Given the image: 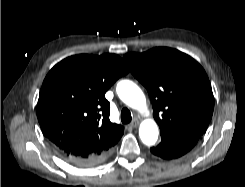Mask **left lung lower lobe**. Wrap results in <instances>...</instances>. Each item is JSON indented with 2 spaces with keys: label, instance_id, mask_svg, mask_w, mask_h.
Masks as SVG:
<instances>
[{
  "label": "left lung lower lobe",
  "instance_id": "obj_1",
  "mask_svg": "<svg viewBox=\"0 0 245 187\" xmlns=\"http://www.w3.org/2000/svg\"><path fill=\"white\" fill-rule=\"evenodd\" d=\"M199 135H162L161 143L151 152L164 159H175L189 152L197 143Z\"/></svg>",
  "mask_w": 245,
  "mask_h": 187
}]
</instances>
